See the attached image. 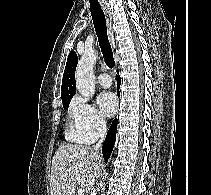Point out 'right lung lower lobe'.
<instances>
[{"label": "right lung lower lobe", "mask_w": 211, "mask_h": 195, "mask_svg": "<svg viewBox=\"0 0 211 195\" xmlns=\"http://www.w3.org/2000/svg\"><path fill=\"white\" fill-rule=\"evenodd\" d=\"M117 84L118 86L120 85V78L119 76H117ZM117 94L119 95V91H117ZM116 130H117V119H115L112 122V125L106 135L105 141L103 143L102 146V154L104 156V160L107 163L110 154L113 150V146L115 144V140H116Z\"/></svg>", "instance_id": "1"}]
</instances>
